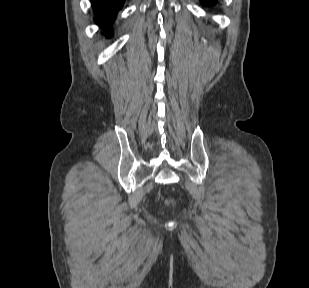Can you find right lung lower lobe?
Instances as JSON below:
<instances>
[{"mask_svg": "<svg viewBox=\"0 0 309 288\" xmlns=\"http://www.w3.org/2000/svg\"><path fill=\"white\" fill-rule=\"evenodd\" d=\"M94 9L95 22L104 28H109L116 13L121 9L125 0H90Z\"/></svg>", "mask_w": 309, "mask_h": 288, "instance_id": "obj_1", "label": "right lung lower lobe"}]
</instances>
